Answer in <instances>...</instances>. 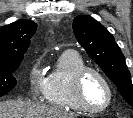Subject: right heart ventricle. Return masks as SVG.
Returning a JSON list of instances; mask_svg holds the SVG:
<instances>
[{
	"label": "right heart ventricle",
	"mask_w": 133,
	"mask_h": 118,
	"mask_svg": "<svg viewBox=\"0 0 133 118\" xmlns=\"http://www.w3.org/2000/svg\"><path fill=\"white\" fill-rule=\"evenodd\" d=\"M84 67L83 57L74 50H66L59 55L47 76L45 97L50 105L66 110H82L74 97V79Z\"/></svg>",
	"instance_id": "obj_1"
}]
</instances>
